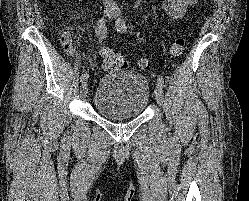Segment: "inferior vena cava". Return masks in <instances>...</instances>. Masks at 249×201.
I'll use <instances>...</instances> for the list:
<instances>
[{
	"label": "inferior vena cava",
	"mask_w": 249,
	"mask_h": 201,
	"mask_svg": "<svg viewBox=\"0 0 249 201\" xmlns=\"http://www.w3.org/2000/svg\"><path fill=\"white\" fill-rule=\"evenodd\" d=\"M103 3L105 4V6H112L114 5V0H103Z\"/></svg>",
	"instance_id": "1"
}]
</instances>
